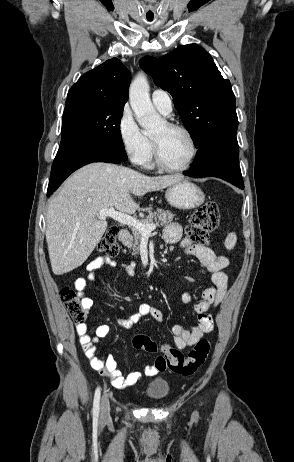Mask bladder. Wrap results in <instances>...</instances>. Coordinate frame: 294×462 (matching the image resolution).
I'll return each instance as SVG.
<instances>
[{
  "label": "bladder",
  "instance_id": "1",
  "mask_svg": "<svg viewBox=\"0 0 294 462\" xmlns=\"http://www.w3.org/2000/svg\"><path fill=\"white\" fill-rule=\"evenodd\" d=\"M170 382L165 378H158L148 383L144 395L155 401L163 400L170 393Z\"/></svg>",
  "mask_w": 294,
  "mask_h": 462
}]
</instances>
